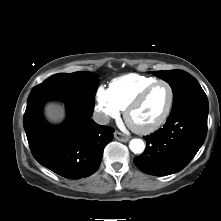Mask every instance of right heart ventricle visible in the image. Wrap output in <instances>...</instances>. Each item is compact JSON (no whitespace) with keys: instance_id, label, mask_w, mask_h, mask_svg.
<instances>
[{"instance_id":"e07e8e85","label":"right heart ventricle","mask_w":221,"mask_h":221,"mask_svg":"<svg viewBox=\"0 0 221 221\" xmlns=\"http://www.w3.org/2000/svg\"><path fill=\"white\" fill-rule=\"evenodd\" d=\"M157 81L156 78L139 74H128L111 81L109 90L120 110L128 104L148 85Z\"/></svg>"}]
</instances>
